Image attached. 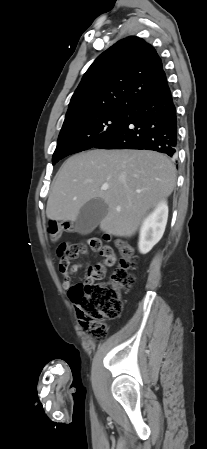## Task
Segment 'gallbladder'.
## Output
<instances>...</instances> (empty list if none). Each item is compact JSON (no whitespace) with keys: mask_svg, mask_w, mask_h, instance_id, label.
<instances>
[{"mask_svg":"<svg viewBox=\"0 0 207 449\" xmlns=\"http://www.w3.org/2000/svg\"><path fill=\"white\" fill-rule=\"evenodd\" d=\"M107 204L99 199H91L85 203L75 221L76 229L81 234L91 233L107 215Z\"/></svg>","mask_w":207,"mask_h":449,"instance_id":"gallbladder-1","label":"gallbladder"}]
</instances>
